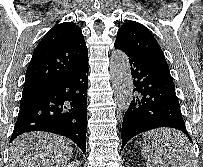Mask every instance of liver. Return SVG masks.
<instances>
[{"instance_id":"obj_1","label":"liver","mask_w":203,"mask_h":167,"mask_svg":"<svg viewBox=\"0 0 203 167\" xmlns=\"http://www.w3.org/2000/svg\"><path fill=\"white\" fill-rule=\"evenodd\" d=\"M177 133L164 128L151 131L145 137L159 149ZM71 156L72 147L67 139L46 132H30L11 143L8 167H64Z\"/></svg>"}]
</instances>
